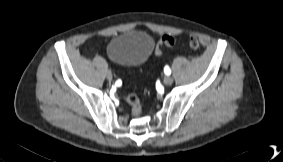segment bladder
I'll return each instance as SVG.
<instances>
[{"label": "bladder", "instance_id": "obj_1", "mask_svg": "<svg viewBox=\"0 0 283 162\" xmlns=\"http://www.w3.org/2000/svg\"><path fill=\"white\" fill-rule=\"evenodd\" d=\"M153 38L142 31L130 30L114 37L107 48L108 55L123 65H140L153 53Z\"/></svg>", "mask_w": 283, "mask_h": 162}]
</instances>
